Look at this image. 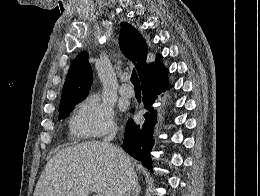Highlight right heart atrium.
Masks as SVG:
<instances>
[{
  "label": "right heart atrium",
  "mask_w": 260,
  "mask_h": 196,
  "mask_svg": "<svg viewBox=\"0 0 260 196\" xmlns=\"http://www.w3.org/2000/svg\"><path fill=\"white\" fill-rule=\"evenodd\" d=\"M115 128L113 109L98 93H90L78 103L70 122V129L79 143H107L97 138Z\"/></svg>",
  "instance_id": "obj_1"
}]
</instances>
